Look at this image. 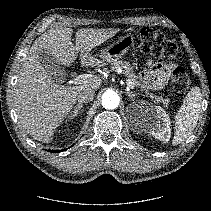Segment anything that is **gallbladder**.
<instances>
[{
    "instance_id": "obj_1",
    "label": "gallbladder",
    "mask_w": 211,
    "mask_h": 211,
    "mask_svg": "<svg viewBox=\"0 0 211 211\" xmlns=\"http://www.w3.org/2000/svg\"><path fill=\"white\" fill-rule=\"evenodd\" d=\"M39 61L44 66L48 74L56 81H63L65 70L47 49L39 51Z\"/></svg>"
}]
</instances>
